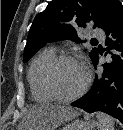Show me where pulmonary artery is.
Instances as JSON below:
<instances>
[{
	"label": "pulmonary artery",
	"instance_id": "e3ab8cb5",
	"mask_svg": "<svg viewBox=\"0 0 123 130\" xmlns=\"http://www.w3.org/2000/svg\"><path fill=\"white\" fill-rule=\"evenodd\" d=\"M91 36L97 39H101V40H103L105 37L104 32L99 28L93 29L91 31Z\"/></svg>",
	"mask_w": 123,
	"mask_h": 130
}]
</instances>
